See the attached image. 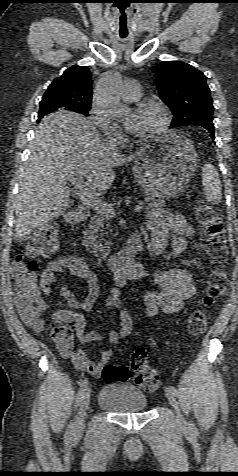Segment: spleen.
<instances>
[{
	"instance_id": "obj_1",
	"label": "spleen",
	"mask_w": 238,
	"mask_h": 476,
	"mask_svg": "<svg viewBox=\"0 0 238 476\" xmlns=\"http://www.w3.org/2000/svg\"><path fill=\"white\" fill-rule=\"evenodd\" d=\"M202 182L206 200L219 203L222 198V185L218 171L210 163H206L202 169Z\"/></svg>"
}]
</instances>
